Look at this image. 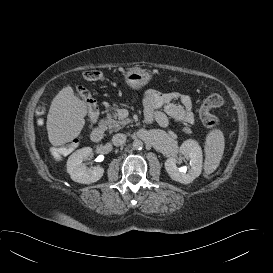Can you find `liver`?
Returning <instances> with one entry per match:
<instances>
[{
    "instance_id": "6515ba94",
    "label": "liver",
    "mask_w": 273,
    "mask_h": 273,
    "mask_svg": "<svg viewBox=\"0 0 273 273\" xmlns=\"http://www.w3.org/2000/svg\"><path fill=\"white\" fill-rule=\"evenodd\" d=\"M86 104L71 87L62 89L53 99L47 115V133L53 146H62L77 138L85 125Z\"/></svg>"
}]
</instances>
